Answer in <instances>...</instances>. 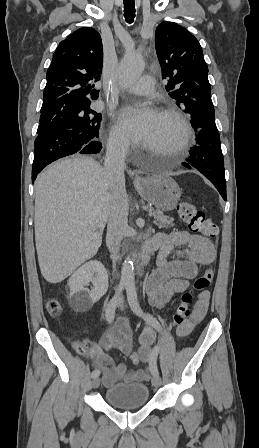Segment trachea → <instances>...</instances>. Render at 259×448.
Returning a JSON list of instances; mask_svg holds the SVG:
<instances>
[{"label": "trachea", "instance_id": "1", "mask_svg": "<svg viewBox=\"0 0 259 448\" xmlns=\"http://www.w3.org/2000/svg\"><path fill=\"white\" fill-rule=\"evenodd\" d=\"M123 2L126 22L132 23L135 18V2L134 0H123Z\"/></svg>", "mask_w": 259, "mask_h": 448}]
</instances>
